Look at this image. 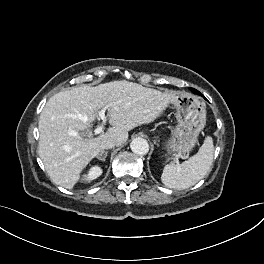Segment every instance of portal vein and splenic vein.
I'll list each match as a JSON object with an SVG mask.
<instances>
[{"mask_svg":"<svg viewBox=\"0 0 264 264\" xmlns=\"http://www.w3.org/2000/svg\"><path fill=\"white\" fill-rule=\"evenodd\" d=\"M98 115L103 120V122L105 123L106 122L105 112L103 110H101V111H99ZM101 131H102V127H98L95 130V134H99V133H101ZM71 135L76 136L77 133L72 132Z\"/></svg>","mask_w":264,"mask_h":264,"instance_id":"portal-vein-and-splenic-vein-1","label":"portal vein and splenic vein"}]
</instances>
